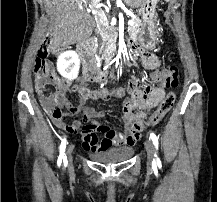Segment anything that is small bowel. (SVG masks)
<instances>
[{"mask_svg":"<svg viewBox=\"0 0 217 202\" xmlns=\"http://www.w3.org/2000/svg\"><path fill=\"white\" fill-rule=\"evenodd\" d=\"M141 53L143 65L148 69H154L159 65V59L155 54ZM72 87L79 94L80 105L72 110L74 114H82L85 121L99 119L104 116L102 111H97L85 105L88 99L108 100L112 97L122 98L126 94V89L122 86L100 87L90 89L87 84L59 83V93L62 103L66 102L65 92ZM138 106L133 98H125L122 102V119L125 122L123 132L117 133L108 126L98 127V131H80L83 141H110V142H81V147H131L138 141L140 134L147 128L145 122L149 118L145 110L134 112ZM55 121H60V116H55ZM109 135V136H107Z\"/></svg>","mask_w":217,"mask_h":202,"instance_id":"1","label":"small bowel"}]
</instances>
